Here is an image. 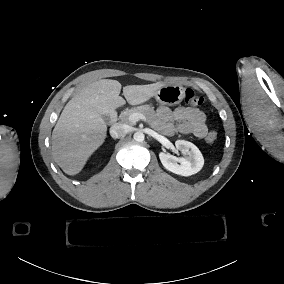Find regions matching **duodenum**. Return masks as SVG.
<instances>
[{
	"label": "duodenum",
	"instance_id": "obj_1",
	"mask_svg": "<svg viewBox=\"0 0 284 284\" xmlns=\"http://www.w3.org/2000/svg\"><path fill=\"white\" fill-rule=\"evenodd\" d=\"M117 116L116 113H112L109 117V125H113L116 122Z\"/></svg>",
	"mask_w": 284,
	"mask_h": 284
}]
</instances>
